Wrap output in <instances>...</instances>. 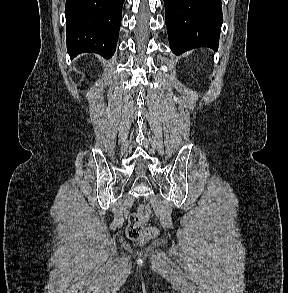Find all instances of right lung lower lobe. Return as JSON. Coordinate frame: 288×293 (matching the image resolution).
Instances as JSON below:
<instances>
[{
    "mask_svg": "<svg viewBox=\"0 0 288 293\" xmlns=\"http://www.w3.org/2000/svg\"><path fill=\"white\" fill-rule=\"evenodd\" d=\"M124 0H66L67 50L110 58L115 52Z\"/></svg>",
    "mask_w": 288,
    "mask_h": 293,
    "instance_id": "obj_1",
    "label": "right lung lower lobe"
}]
</instances>
